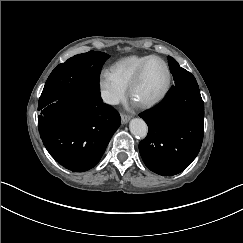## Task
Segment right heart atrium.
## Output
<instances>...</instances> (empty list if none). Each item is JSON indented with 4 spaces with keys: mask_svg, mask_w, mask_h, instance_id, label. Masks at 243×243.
<instances>
[{
    "mask_svg": "<svg viewBox=\"0 0 243 243\" xmlns=\"http://www.w3.org/2000/svg\"><path fill=\"white\" fill-rule=\"evenodd\" d=\"M97 89L101 100L116 105L128 95L127 88L118 80L112 66H103L97 74Z\"/></svg>",
    "mask_w": 243,
    "mask_h": 243,
    "instance_id": "obj_1",
    "label": "right heart atrium"
}]
</instances>
